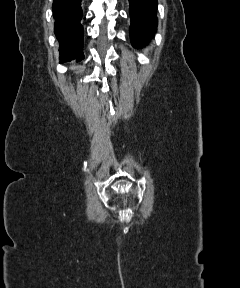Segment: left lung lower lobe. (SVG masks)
I'll list each match as a JSON object with an SVG mask.
<instances>
[{
	"instance_id": "1",
	"label": "left lung lower lobe",
	"mask_w": 240,
	"mask_h": 288,
	"mask_svg": "<svg viewBox=\"0 0 240 288\" xmlns=\"http://www.w3.org/2000/svg\"><path fill=\"white\" fill-rule=\"evenodd\" d=\"M130 35L135 48L143 47L157 27V0H129Z\"/></svg>"
}]
</instances>
